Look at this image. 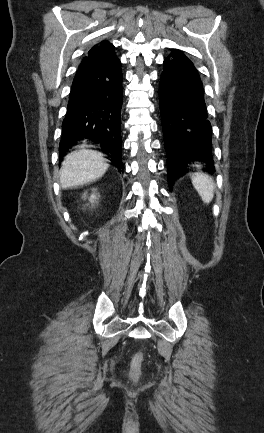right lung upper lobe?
Wrapping results in <instances>:
<instances>
[{
	"label": "right lung upper lobe",
	"mask_w": 264,
	"mask_h": 433,
	"mask_svg": "<svg viewBox=\"0 0 264 433\" xmlns=\"http://www.w3.org/2000/svg\"><path fill=\"white\" fill-rule=\"evenodd\" d=\"M91 51L99 52L107 56L115 55V47L106 40L100 42L99 44H96L89 52Z\"/></svg>",
	"instance_id": "right-lung-upper-lobe-1"
}]
</instances>
